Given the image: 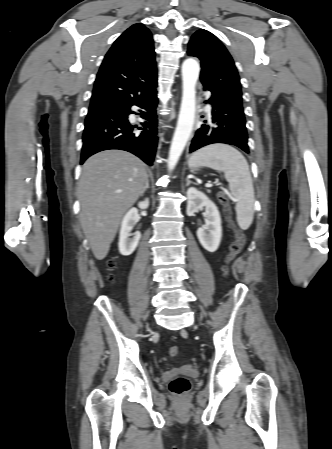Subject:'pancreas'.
Here are the masks:
<instances>
[{"label": "pancreas", "instance_id": "cf45deb5", "mask_svg": "<svg viewBox=\"0 0 332 449\" xmlns=\"http://www.w3.org/2000/svg\"><path fill=\"white\" fill-rule=\"evenodd\" d=\"M207 192H208V193H210V191H209V190H208ZM217 196H218V197H223V196H224V194L220 192V193H218V194H217Z\"/></svg>", "mask_w": 332, "mask_h": 449}]
</instances>
